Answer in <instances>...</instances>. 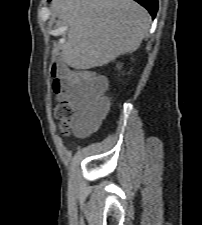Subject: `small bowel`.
Instances as JSON below:
<instances>
[{
  "mask_svg": "<svg viewBox=\"0 0 202 225\" xmlns=\"http://www.w3.org/2000/svg\"><path fill=\"white\" fill-rule=\"evenodd\" d=\"M75 104L77 106L75 124H79L80 121H90L91 115L88 113L82 99L76 100Z\"/></svg>",
  "mask_w": 202,
  "mask_h": 225,
  "instance_id": "small-bowel-1",
  "label": "small bowel"
}]
</instances>
